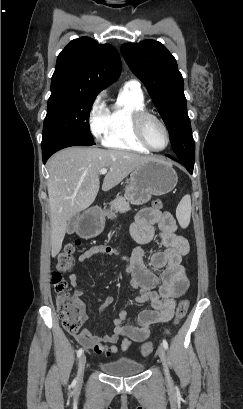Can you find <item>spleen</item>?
<instances>
[{"instance_id":"1","label":"spleen","mask_w":243,"mask_h":409,"mask_svg":"<svg viewBox=\"0 0 243 409\" xmlns=\"http://www.w3.org/2000/svg\"><path fill=\"white\" fill-rule=\"evenodd\" d=\"M191 209V197L186 194L176 208L177 220L183 228H186L190 223Z\"/></svg>"}]
</instances>
